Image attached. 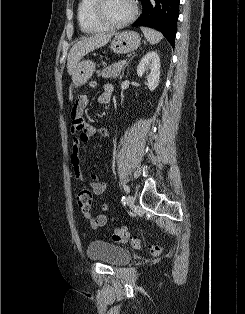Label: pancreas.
I'll list each match as a JSON object with an SVG mask.
<instances>
[{
    "instance_id": "1",
    "label": "pancreas",
    "mask_w": 245,
    "mask_h": 314,
    "mask_svg": "<svg viewBox=\"0 0 245 314\" xmlns=\"http://www.w3.org/2000/svg\"><path fill=\"white\" fill-rule=\"evenodd\" d=\"M121 71H124L121 62H116L114 64L105 67L102 71L97 72L98 77H102L104 79H116L120 76Z\"/></svg>"
}]
</instances>
